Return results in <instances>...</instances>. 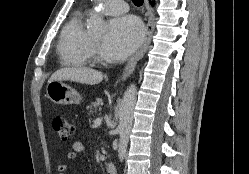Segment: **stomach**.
<instances>
[{"instance_id":"stomach-1","label":"stomach","mask_w":249,"mask_h":174,"mask_svg":"<svg viewBox=\"0 0 249 174\" xmlns=\"http://www.w3.org/2000/svg\"><path fill=\"white\" fill-rule=\"evenodd\" d=\"M46 93L48 98L58 105L78 104L82 99L75 89L62 81L49 82L46 87Z\"/></svg>"}]
</instances>
